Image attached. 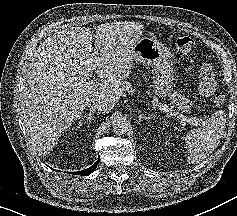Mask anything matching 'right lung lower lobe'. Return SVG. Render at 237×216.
I'll use <instances>...</instances> for the list:
<instances>
[{
    "mask_svg": "<svg viewBox=\"0 0 237 216\" xmlns=\"http://www.w3.org/2000/svg\"><path fill=\"white\" fill-rule=\"evenodd\" d=\"M99 162H100V158H98L96 163L93 164L91 167H89V168H87L85 170H82V171L75 172L74 174L81 175V176L89 175V174H91L95 170V168L97 167Z\"/></svg>",
    "mask_w": 237,
    "mask_h": 216,
    "instance_id": "obj_1",
    "label": "right lung lower lobe"
}]
</instances>
